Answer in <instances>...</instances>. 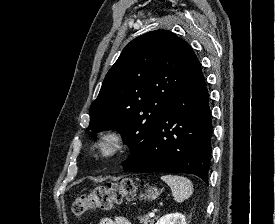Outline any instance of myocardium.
I'll list each match as a JSON object with an SVG mask.
<instances>
[{
  "label": "myocardium",
  "mask_w": 275,
  "mask_h": 224,
  "mask_svg": "<svg viewBox=\"0 0 275 224\" xmlns=\"http://www.w3.org/2000/svg\"><path fill=\"white\" fill-rule=\"evenodd\" d=\"M127 147L124 135L117 130H105L98 134L91 144L92 152L101 159L120 155Z\"/></svg>",
  "instance_id": "f54148a6"
}]
</instances>
